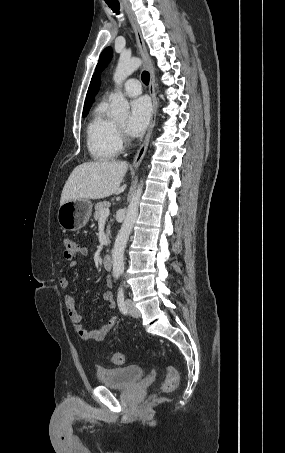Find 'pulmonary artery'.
Returning a JSON list of instances; mask_svg holds the SVG:
<instances>
[{
	"label": "pulmonary artery",
	"mask_w": 285,
	"mask_h": 453,
	"mask_svg": "<svg viewBox=\"0 0 285 453\" xmlns=\"http://www.w3.org/2000/svg\"><path fill=\"white\" fill-rule=\"evenodd\" d=\"M123 92L129 97L137 96L141 93V85L137 79H128L123 84Z\"/></svg>",
	"instance_id": "obj_1"
}]
</instances>
